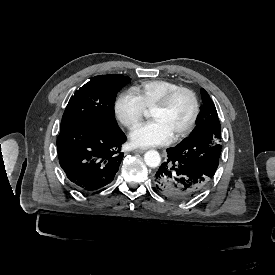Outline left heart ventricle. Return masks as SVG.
<instances>
[{
    "label": "left heart ventricle",
    "instance_id": "b2bd125f",
    "mask_svg": "<svg viewBox=\"0 0 275 275\" xmlns=\"http://www.w3.org/2000/svg\"><path fill=\"white\" fill-rule=\"evenodd\" d=\"M192 114V101L188 94L178 93L169 106L162 110H152V120L160 122L170 133L171 137L178 133L190 120Z\"/></svg>",
    "mask_w": 275,
    "mask_h": 275
}]
</instances>
